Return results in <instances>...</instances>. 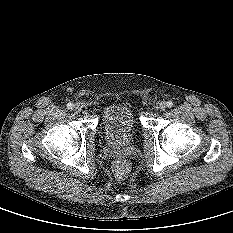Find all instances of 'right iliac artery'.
Segmentation results:
<instances>
[{
  "instance_id": "right-iliac-artery-1",
  "label": "right iliac artery",
  "mask_w": 233,
  "mask_h": 233,
  "mask_svg": "<svg viewBox=\"0 0 233 233\" xmlns=\"http://www.w3.org/2000/svg\"><path fill=\"white\" fill-rule=\"evenodd\" d=\"M73 107H74V105H73L72 103H68V104H67V108H68V109H73Z\"/></svg>"
}]
</instances>
